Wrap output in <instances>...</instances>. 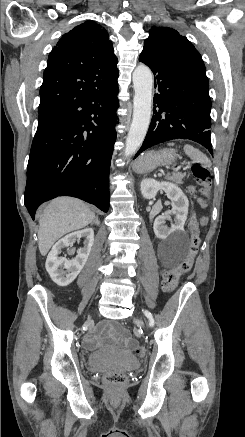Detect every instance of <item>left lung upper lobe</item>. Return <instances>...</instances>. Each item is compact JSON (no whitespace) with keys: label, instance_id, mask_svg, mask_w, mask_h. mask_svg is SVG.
Masks as SVG:
<instances>
[{"label":"left lung upper lobe","instance_id":"obj_1","mask_svg":"<svg viewBox=\"0 0 245 437\" xmlns=\"http://www.w3.org/2000/svg\"><path fill=\"white\" fill-rule=\"evenodd\" d=\"M149 33L142 52L209 84L201 55L186 37L166 27H152Z\"/></svg>","mask_w":245,"mask_h":437}]
</instances>
